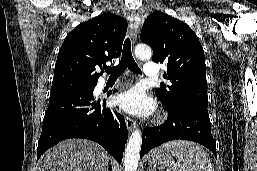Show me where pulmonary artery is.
Here are the masks:
<instances>
[{
    "mask_svg": "<svg viewBox=\"0 0 257 171\" xmlns=\"http://www.w3.org/2000/svg\"><path fill=\"white\" fill-rule=\"evenodd\" d=\"M143 74L146 77H154L158 74V65L154 62H147L143 68Z\"/></svg>",
    "mask_w": 257,
    "mask_h": 171,
    "instance_id": "1",
    "label": "pulmonary artery"
}]
</instances>
